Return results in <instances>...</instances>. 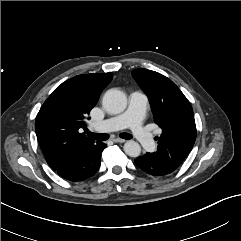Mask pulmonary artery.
Instances as JSON below:
<instances>
[{"label": "pulmonary artery", "mask_w": 241, "mask_h": 241, "mask_svg": "<svg viewBox=\"0 0 241 241\" xmlns=\"http://www.w3.org/2000/svg\"><path fill=\"white\" fill-rule=\"evenodd\" d=\"M147 104L148 98L146 94L140 90H136L130 94L129 106L125 113L96 124L95 129L116 131L128 127L143 148L152 150L155 147V141L142 123Z\"/></svg>", "instance_id": "obj_1"}]
</instances>
